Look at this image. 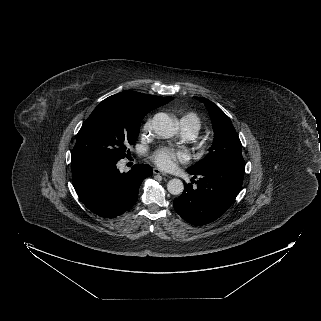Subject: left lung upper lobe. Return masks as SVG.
<instances>
[{
  "label": "left lung upper lobe",
  "mask_w": 321,
  "mask_h": 321,
  "mask_svg": "<svg viewBox=\"0 0 321 321\" xmlns=\"http://www.w3.org/2000/svg\"><path fill=\"white\" fill-rule=\"evenodd\" d=\"M204 102L212 120L214 141L210 152L198 161L188 172L197 173L222 164L244 163L242 144L229 117L213 102L196 97Z\"/></svg>",
  "instance_id": "5c2ea615"
}]
</instances>
